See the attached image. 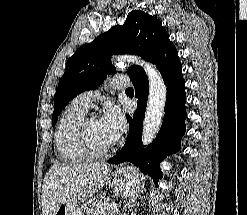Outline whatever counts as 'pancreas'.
I'll list each match as a JSON object with an SVG mask.
<instances>
[{
  "label": "pancreas",
  "mask_w": 247,
  "mask_h": 215,
  "mask_svg": "<svg viewBox=\"0 0 247 215\" xmlns=\"http://www.w3.org/2000/svg\"><path fill=\"white\" fill-rule=\"evenodd\" d=\"M85 211L87 215H117V212L103 201L93 202Z\"/></svg>",
  "instance_id": "obj_1"
}]
</instances>
